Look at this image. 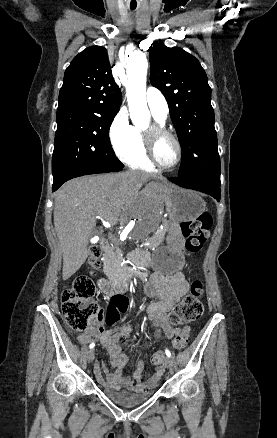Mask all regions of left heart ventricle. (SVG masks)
Wrapping results in <instances>:
<instances>
[{"instance_id":"obj_1","label":"left heart ventricle","mask_w":277,"mask_h":438,"mask_svg":"<svg viewBox=\"0 0 277 438\" xmlns=\"http://www.w3.org/2000/svg\"><path fill=\"white\" fill-rule=\"evenodd\" d=\"M157 155L165 166L173 165L177 157V147L174 141L168 137L161 138L157 147Z\"/></svg>"}]
</instances>
